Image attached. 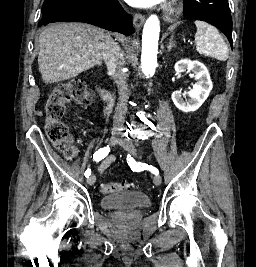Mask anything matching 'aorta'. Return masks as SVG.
Here are the masks:
<instances>
[{
    "label": "aorta",
    "instance_id": "obj_1",
    "mask_svg": "<svg viewBox=\"0 0 256 267\" xmlns=\"http://www.w3.org/2000/svg\"><path fill=\"white\" fill-rule=\"evenodd\" d=\"M160 38V22L158 16L152 14L146 20L142 34L141 68L142 72L154 74L157 68L158 42ZM146 40V52L143 54V42ZM155 54V56H154Z\"/></svg>",
    "mask_w": 256,
    "mask_h": 267
}]
</instances>
